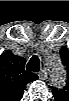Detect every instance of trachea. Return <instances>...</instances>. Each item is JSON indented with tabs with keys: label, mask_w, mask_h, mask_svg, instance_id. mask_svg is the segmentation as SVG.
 <instances>
[{
	"label": "trachea",
	"mask_w": 69,
	"mask_h": 101,
	"mask_svg": "<svg viewBox=\"0 0 69 101\" xmlns=\"http://www.w3.org/2000/svg\"><path fill=\"white\" fill-rule=\"evenodd\" d=\"M26 69L28 71L38 72L40 70V60L37 56H32L29 60Z\"/></svg>",
	"instance_id": "trachea-1"
}]
</instances>
